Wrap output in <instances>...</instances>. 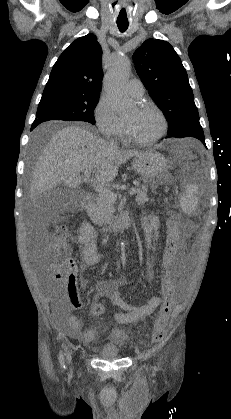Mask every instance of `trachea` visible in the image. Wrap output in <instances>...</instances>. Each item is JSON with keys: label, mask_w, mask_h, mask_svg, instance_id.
<instances>
[{"label": "trachea", "mask_w": 231, "mask_h": 419, "mask_svg": "<svg viewBox=\"0 0 231 419\" xmlns=\"http://www.w3.org/2000/svg\"><path fill=\"white\" fill-rule=\"evenodd\" d=\"M128 22H117V26L120 30V32H125L128 28Z\"/></svg>", "instance_id": "3493384b"}]
</instances>
